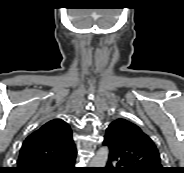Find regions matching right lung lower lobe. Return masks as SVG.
<instances>
[{
  "mask_svg": "<svg viewBox=\"0 0 184 173\" xmlns=\"http://www.w3.org/2000/svg\"><path fill=\"white\" fill-rule=\"evenodd\" d=\"M77 152L66 156L57 161L48 163L43 166L34 167L17 173H80L81 171L74 167Z\"/></svg>",
  "mask_w": 184,
  "mask_h": 173,
  "instance_id": "1",
  "label": "right lung lower lobe"
}]
</instances>
